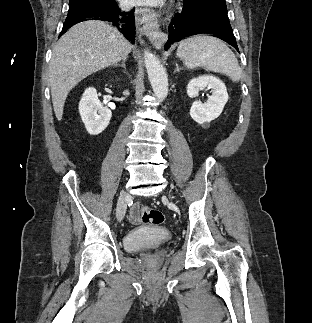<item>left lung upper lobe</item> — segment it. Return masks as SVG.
Wrapping results in <instances>:
<instances>
[{"instance_id":"left-lung-upper-lobe-1","label":"left lung upper lobe","mask_w":312,"mask_h":323,"mask_svg":"<svg viewBox=\"0 0 312 323\" xmlns=\"http://www.w3.org/2000/svg\"><path fill=\"white\" fill-rule=\"evenodd\" d=\"M196 1L198 0H183L185 6L193 5Z\"/></svg>"}]
</instances>
